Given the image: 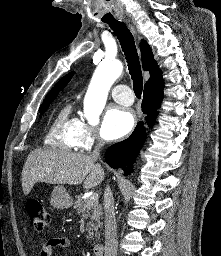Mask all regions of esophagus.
I'll return each instance as SVG.
<instances>
[{"instance_id":"esophagus-1","label":"esophagus","mask_w":221,"mask_h":256,"mask_svg":"<svg viewBox=\"0 0 221 256\" xmlns=\"http://www.w3.org/2000/svg\"><path fill=\"white\" fill-rule=\"evenodd\" d=\"M127 22L129 23V26H130L131 30H132L134 33H136L134 27L132 26V24H130V21L127 20Z\"/></svg>"}]
</instances>
